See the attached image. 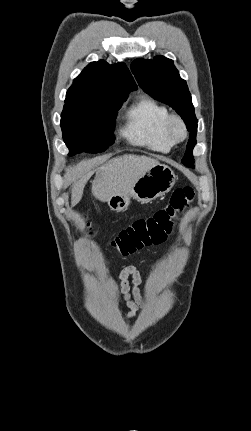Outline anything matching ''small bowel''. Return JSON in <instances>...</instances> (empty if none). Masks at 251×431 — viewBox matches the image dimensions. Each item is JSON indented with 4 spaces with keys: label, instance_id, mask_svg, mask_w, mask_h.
Returning a JSON list of instances; mask_svg holds the SVG:
<instances>
[{
    "label": "small bowel",
    "instance_id": "1",
    "mask_svg": "<svg viewBox=\"0 0 251 431\" xmlns=\"http://www.w3.org/2000/svg\"><path fill=\"white\" fill-rule=\"evenodd\" d=\"M119 279L120 293L128 308L126 318L131 321L139 309L148 305L140 290L142 275L134 265H127L120 270Z\"/></svg>",
    "mask_w": 251,
    "mask_h": 431
}]
</instances>
